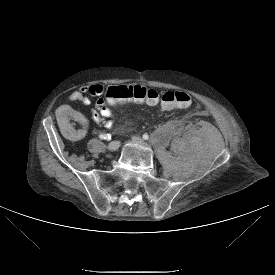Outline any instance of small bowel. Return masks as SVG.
Listing matches in <instances>:
<instances>
[{"instance_id":"obj_1","label":"small bowel","mask_w":275,"mask_h":275,"mask_svg":"<svg viewBox=\"0 0 275 275\" xmlns=\"http://www.w3.org/2000/svg\"><path fill=\"white\" fill-rule=\"evenodd\" d=\"M108 88L102 84H92L80 87L69 96L71 102L90 104L92 98H97L96 107L93 111V118L105 128L113 126L111 105L105 102L104 96ZM56 123L60 128L62 136L70 141H82L88 131L85 117L68 105L62 106L56 114Z\"/></svg>"}]
</instances>
